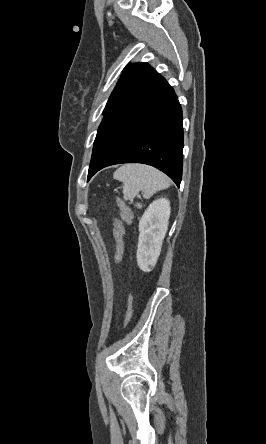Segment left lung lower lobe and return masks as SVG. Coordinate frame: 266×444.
<instances>
[{
    "mask_svg": "<svg viewBox=\"0 0 266 444\" xmlns=\"http://www.w3.org/2000/svg\"><path fill=\"white\" fill-rule=\"evenodd\" d=\"M182 150L181 106L173 88L163 80L101 124L88 180L113 164L144 163L166 173L179 187Z\"/></svg>",
    "mask_w": 266,
    "mask_h": 444,
    "instance_id": "obj_1",
    "label": "left lung lower lobe"
}]
</instances>
